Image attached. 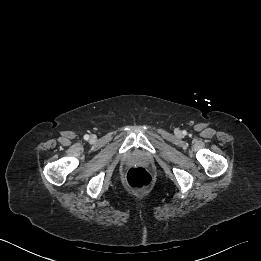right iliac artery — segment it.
I'll list each match as a JSON object with an SVG mask.
<instances>
[{
	"label": "right iliac artery",
	"instance_id": "right-iliac-artery-1",
	"mask_svg": "<svg viewBox=\"0 0 261 261\" xmlns=\"http://www.w3.org/2000/svg\"><path fill=\"white\" fill-rule=\"evenodd\" d=\"M84 139H85V140H88V139H89V135H87V134L84 135Z\"/></svg>",
	"mask_w": 261,
	"mask_h": 261
}]
</instances>
